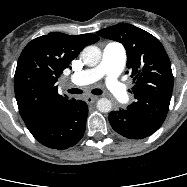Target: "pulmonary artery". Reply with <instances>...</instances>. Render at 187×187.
I'll return each mask as SVG.
<instances>
[{
  "mask_svg": "<svg viewBox=\"0 0 187 187\" xmlns=\"http://www.w3.org/2000/svg\"><path fill=\"white\" fill-rule=\"evenodd\" d=\"M126 62V52L120 43L111 42L103 50L102 60L94 68L86 69L71 76V82L78 86L88 85L105 78V84L120 101L128 99L123 84L118 80Z\"/></svg>",
  "mask_w": 187,
  "mask_h": 187,
  "instance_id": "1",
  "label": "pulmonary artery"
}]
</instances>
